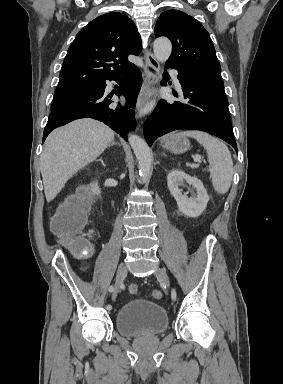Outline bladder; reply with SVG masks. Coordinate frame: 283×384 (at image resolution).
<instances>
[{"label": "bladder", "mask_w": 283, "mask_h": 384, "mask_svg": "<svg viewBox=\"0 0 283 384\" xmlns=\"http://www.w3.org/2000/svg\"><path fill=\"white\" fill-rule=\"evenodd\" d=\"M116 330L126 338L162 335L168 328L169 314L160 303L132 299L115 315Z\"/></svg>", "instance_id": "bladder-1"}]
</instances>
